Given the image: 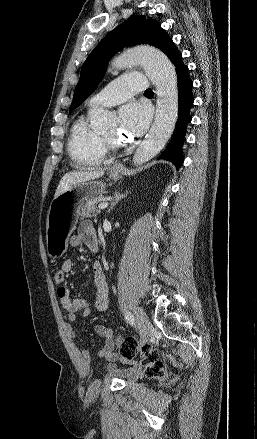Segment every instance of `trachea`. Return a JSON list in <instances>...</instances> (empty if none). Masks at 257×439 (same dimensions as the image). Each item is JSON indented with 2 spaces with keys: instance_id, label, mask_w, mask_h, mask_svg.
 Here are the masks:
<instances>
[{
  "instance_id": "1",
  "label": "trachea",
  "mask_w": 257,
  "mask_h": 439,
  "mask_svg": "<svg viewBox=\"0 0 257 439\" xmlns=\"http://www.w3.org/2000/svg\"><path fill=\"white\" fill-rule=\"evenodd\" d=\"M145 93H152V90L148 89V90L145 91Z\"/></svg>"
}]
</instances>
